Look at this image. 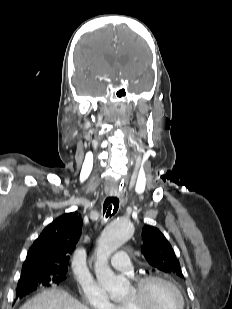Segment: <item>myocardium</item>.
Returning <instances> with one entry per match:
<instances>
[{
    "label": "myocardium",
    "mask_w": 232,
    "mask_h": 309,
    "mask_svg": "<svg viewBox=\"0 0 232 309\" xmlns=\"http://www.w3.org/2000/svg\"><path fill=\"white\" fill-rule=\"evenodd\" d=\"M161 282L173 288L180 297L181 307L185 309L186 300L180 287L168 277L159 274H145L139 276L134 282V296L132 299L126 300L125 304L129 309H151L149 306L148 290L152 283Z\"/></svg>",
    "instance_id": "obj_1"
}]
</instances>
